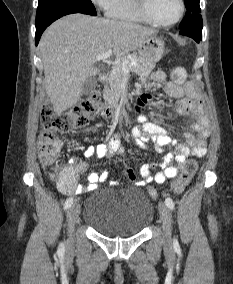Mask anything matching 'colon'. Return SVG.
I'll return each mask as SVG.
<instances>
[{
    "label": "colon",
    "mask_w": 233,
    "mask_h": 284,
    "mask_svg": "<svg viewBox=\"0 0 233 284\" xmlns=\"http://www.w3.org/2000/svg\"><path fill=\"white\" fill-rule=\"evenodd\" d=\"M185 76V71L181 67H175L171 71V78L177 84L183 83ZM101 105V98L96 95L83 99L78 105L64 113H57L51 103L45 104L41 113L42 131L38 142V155L41 163L52 166L61 149L59 135L75 128L85 127ZM197 170V161L187 160L179 175L172 181L171 190L176 194L182 193L190 184ZM77 186L78 177L73 174L63 176L59 183L60 190L67 194L73 193ZM147 192L152 199L158 197V193L153 187H149Z\"/></svg>",
    "instance_id": "5ec220e1"
}]
</instances>
